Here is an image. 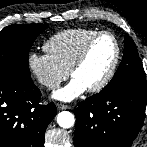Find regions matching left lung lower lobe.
<instances>
[{"mask_svg":"<svg viewBox=\"0 0 147 147\" xmlns=\"http://www.w3.org/2000/svg\"><path fill=\"white\" fill-rule=\"evenodd\" d=\"M147 89L123 87L99 92L75 109V147H129L139 133Z\"/></svg>","mask_w":147,"mask_h":147,"instance_id":"0a47b994","label":"left lung lower lobe"}]
</instances>
